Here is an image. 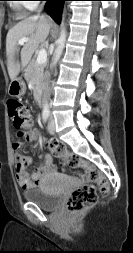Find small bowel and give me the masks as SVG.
Segmentation results:
<instances>
[{"instance_id": "obj_1", "label": "small bowel", "mask_w": 133, "mask_h": 253, "mask_svg": "<svg viewBox=\"0 0 133 253\" xmlns=\"http://www.w3.org/2000/svg\"><path fill=\"white\" fill-rule=\"evenodd\" d=\"M39 134L35 130H29L23 141L14 142L12 147L15 152L14 170L18 185L23 189H30L41 184L44 175L52 173L56 170L49 154L44 156V164L37 167L32 174L26 172V168L30 164V158L23 156L19 150L27 143L37 141Z\"/></svg>"}]
</instances>
